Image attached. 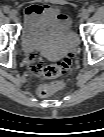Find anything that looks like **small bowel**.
Returning <instances> with one entry per match:
<instances>
[{"mask_svg": "<svg viewBox=\"0 0 104 137\" xmlns=\"http://www.w3.org/2000/svg\"><path fill=\"white\" fill-rule=\"evenodd\" d=\"M56 18L68 24V16L56 7L48 5H29L25 10V25L29 35H32L45 27Z\"/></svg>", "mask_w": 104, "mask_h": 137, "instance_id": "1", "label": "small bowel"}]
</instances>
